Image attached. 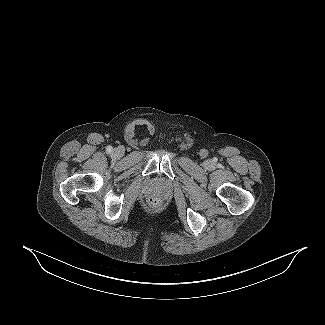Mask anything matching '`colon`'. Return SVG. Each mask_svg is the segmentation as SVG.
I'll list each match as a JSON object with an SVG mask.
<instances>
[{
  "label": "colon",
  "mask_w": 325,
  "mask_h": 325,
  "mask_svg": "<svg viewBox=\"0 0 325 325\" xmlns=\"http://www.w3.org/2000/svg\"><path fill=\"white\" fill-rule=\"evenodd\" d=\"M149 204L152 207H157L160 204V202H159V200L157 198H151L149 200Z\"/></svg>",
  "instance_id": "5ec220e1"
}]
</instances>
